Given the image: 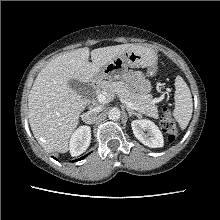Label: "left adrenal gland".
I'll list each match as a JSON object with an SVG mask.
<instances>
[{"label":"left adrenal gland","mask_w":220,"mask_h":220,"mask_svg":"<svg viewBox=\"0 0 220 220\" xmlns=\"http://www.w3.org/2000/svg\"><path fill=\"white\" fill-rule=\"evenodd\" d=\"M127 111H128V114H129L130 117H131L132 115L139 116L138 113H136L135 111H133V110H131V109H129V108H127Z\"/></svg>","instance_id":"a2214340"}]
</instances>
